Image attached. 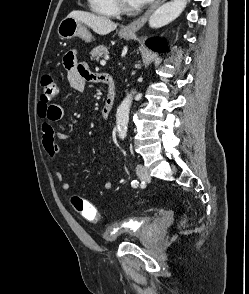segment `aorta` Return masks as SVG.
Masks as SVG:
<instances>
[{
    "instance_id": "762f6f07",
    "label": "aorta",
    "mask_w": 249,
    "mask_h": 294,
    "mask_svg": "<svg viewBox=\"0 0 249 294\" xmlns=\"http://www.w3.org/2000/svg\"><path fill=\"white\" fill-rule=\"evenodd\" d=\"M189 0H173L157 8L149 19L151 28H160L174 21L185 9ZM134 92L128 94L119 105L116 112V126L118 136L124 139L127 135L129 113Z\"/></svg>"
}]
</instances>
